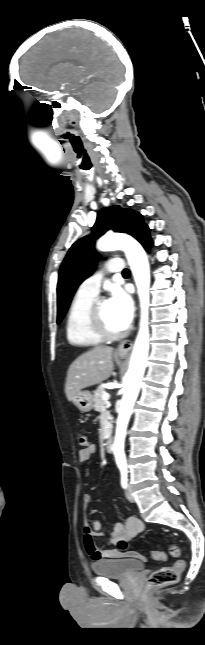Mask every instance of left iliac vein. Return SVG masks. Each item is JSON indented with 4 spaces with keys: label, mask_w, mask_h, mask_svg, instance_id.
I'll return each instance as SVG.
<instances>
[{
    "label": "left iliac vein",
    "mask_w": 205,
    "mask_h": 645,
    "mask_svg": "<svg viewBox=\"0 0 205 645\" xmlns=\"http://www.w3.org/2000/svg\"><path fill=\"white\" fill-rule=\"evenodd\" d=\"M125 495H126V498L128 499V501H130V502L135 501V498H134V496L132 494V491H131V489L129 487L126 489Z\"/></svg>",
    "instance_id": "obj_1"
}]
</instances>
